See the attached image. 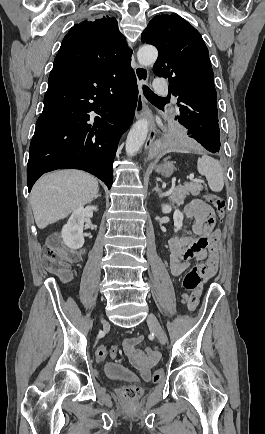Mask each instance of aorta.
I'll return each instance as SVG.
<instances>
[{"label": "aorta", "mask_w": 265, "mask_h": 434, "mask_svg": "<svg viewBox=\"0 0 265 434\" xmlns=\"http://www.w3.org/2000/svg\"><path fill=\"white\" fill-rule=\"evenodd\" d=\"M157 58L158 52L154 46H142L137 52V60L141 66H151L155 64ZM148 126L147 120H138L136 124H133L125 146L128 156H135L142 148L148 134Z\"/></svg>", "instance_id": "1"}]
</instances>
